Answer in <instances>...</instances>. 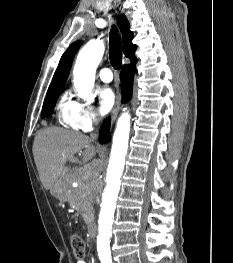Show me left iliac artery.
<instances>
[{
    "label": "left iliac artery",
    "mask_w": 233,
    "mask_h": 263,
    "mask_svg": "<svg viewBox=\"0 0 233 263\" xmlns=\"http://www.w3.org/2000/svg\"><path fill=\"white\" fill-rule=\"evenodd\" d=\"M102 263H112V261H103Z\"/></svg>",
    "instance_id": "left-iliac-artery-1"
}]
</instances>
